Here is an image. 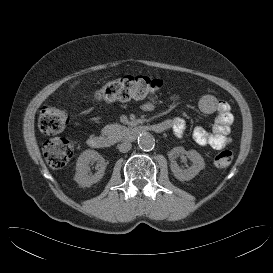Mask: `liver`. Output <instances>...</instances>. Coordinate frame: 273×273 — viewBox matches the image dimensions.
<instances>
[{"mask_svg": "<svg viewBox=\"0 0 273 273\" xmlns=\"http://www.w3.org/2000/svg\"><path fill=\"white\" fill-rule=\"evenodd\" d=\"M78 83H79L78 81L75 82L74 85L71 86V88H73V87H74L76 84H78Z\"/></svg>", "mask_w": 273, "mask_h": 273, "instance_id": "obj_1", "label": "liver"}]
</instances>
